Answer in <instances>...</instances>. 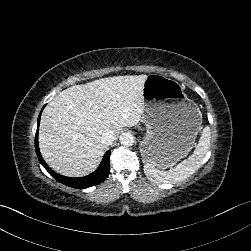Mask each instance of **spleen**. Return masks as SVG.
<instances>
[{"label":"spleen","mask_w":251,"mask_h":251,"mask_svg":"<svg viewBox=\"0 0 251 251\" xmlns=\"http://www.w3.org/2000/svg\"><path fill=\"white\" fill-rule=\"evenodd\" d=\"M211 140V131L207 126L203 129L199 142L193 153L182 160L174 169H157L151 161L144 167L145 174L152 182L169 183L180 182L190 177L202 165L206 153L208 152Z\"/></svg>","instance_id":"3e777b00"}]
</instances>
